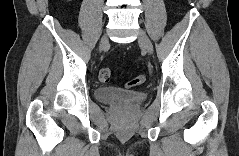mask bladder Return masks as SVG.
<instances>
[{"label":"bladder","instance_id":"1","mask_svg":"<svg viewBox=\"0 0 239 156\" xmlns=\"http://www.w3.org/2000/svg\"><path fill=\"white\" fill-rule=\"evenodd\" d=\"M95 96L100 102L125 101L131 104H139L146 100L145 91H125L115 87H99L95 90Z\"/></svg>","mask_w":239,"mask_h":156}]
</instances>
